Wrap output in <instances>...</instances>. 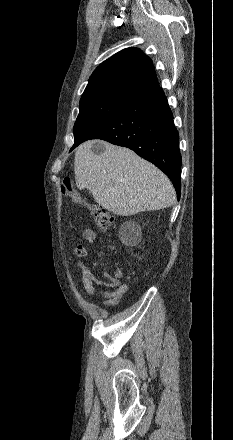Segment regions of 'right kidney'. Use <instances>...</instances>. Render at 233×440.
<instances>
[{"mask_svg":"<svg viewBox=\"0 0 233 440\" xmlns=\"http://www.w3.org/2000/svg\"><path fill=\"white\" fill-rule=\"evenodd\" d=\"M141 230L135 223H125L119 231L122 243L126 245H136L140 240Z\"/></svg>","mask_w":233,"mask_h":440,"instance_id":"obj_1","label":"right kidney"}]
</instances>
